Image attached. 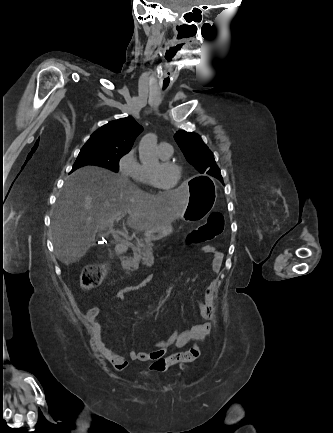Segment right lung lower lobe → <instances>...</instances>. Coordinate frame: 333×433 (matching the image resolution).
I'll list each match as a JSON object with an SVG mask.
<instances>
[{"instance_id": "right-lung-lower-lobe-1", "label": "right lung lower lobe", "mask_w": 333, "mask_h": 433, "mask_svg": "<svg viewBox=\"0 0 333 433\" xmlns=\"http://www.w3.org/2000/svg\"><path fill=\"white\" fill-rule=\"evenodd\" d=\"M74 170H76V169L73 168L72 171H74ZM72 171H71V172H72Z\"/></svg>"}]
</instances>
